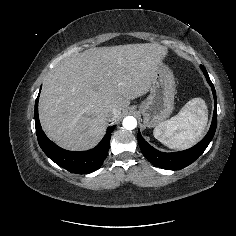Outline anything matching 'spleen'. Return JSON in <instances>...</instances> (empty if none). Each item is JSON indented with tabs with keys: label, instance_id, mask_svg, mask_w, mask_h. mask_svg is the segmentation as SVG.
<instances>
[{
	"label": "spleen",
	"instance_id": "1",
	"mask_svg": "<svg viewBox=\"0 0 236 236\" xmlns=\"http://www.w3.org/2000/svg\"><path fill=\"white\" fill-rule=\"evenodd\" d=\"M207 120L204 100L194 98L188 101L176 116L155 127L153 135L171 149H187L201 138Z\"/></svg>",
	"mask_w": 236,
	"mask_h": 236
}]
</instances>
